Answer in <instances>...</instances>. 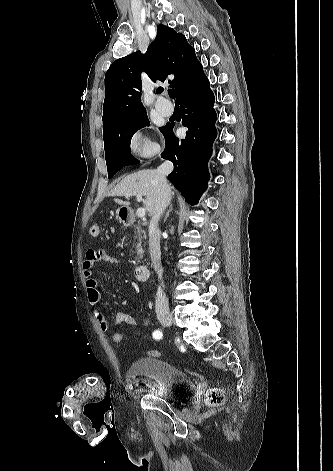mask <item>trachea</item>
<instances>
[{
	"mask_svg": "<svg viewBox=\"0 0 333 471\" xmlns=\"http://www.w3.org/2000/svg\"><path fill=\"white\" fill-rule=\"evenodd\" d=\"M169 95H170L171 98L174 99L175 96H176L175 90H174V89H171V90L169 91Z\"/></svg>",
	"mask_w": 333,
	"mask_h": 471,
	"instance_id": "trachea-1",
	"label": "trachea"
}]
</instances>
